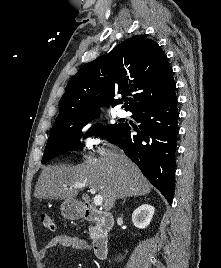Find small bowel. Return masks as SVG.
<instances>
[{"mask_svg": "<svg viewBox=\"0 0 221 268\" xmlns=\"http://www.w3.org/2000/svg\"><path fill=\"white\" fill-rule=\"evenodd\" d=\"M57 246L68 247L75 250H90V246L86 240L76 235L57 234L54 235L45 245L39 250L42 268H51V263L47 259V255L51 249Z\"/></svg>", "mask_w": 221, "mask_h": 268, "instance_id": "obj_1", "label": "small bowel"}]
</instances>
